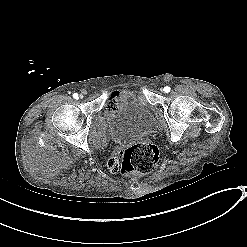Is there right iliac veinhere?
<instances>
[{
    "mask_svg": "<svg viewBox=\"0 0 247 247\" xmlns=\"http://www.w3.org/2000/svg\"><path fill=\"white\" fill-rule=\"evenodd\" d=\"M79 97L82 99L83 98V95L81 94Z\"/></svg>",
    "mask_w": 247,
    "mask_h": 247,
    "instance_id": "1",
    "label": "right iliac vein"
}]
</instances>
